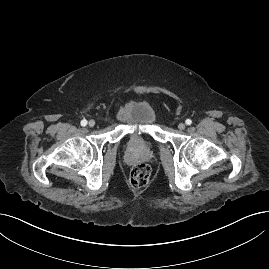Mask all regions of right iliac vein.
Masks as SVG:
<instances>
[{"label":"right iliac vein","mask_w":269,"mask_h":269,"mask_svg":"<svg viewBox=\"0 0 269 269\" xmlns=\"http://www.w3.org/2000/svg\"><path fill=\"white\" fill-rule=\"evenodd\" d=\"M88 126L89 127H94L95 126V121L94 120H89Z\"/></svg>","instance_id":"63e3f726"}]
</instances>
